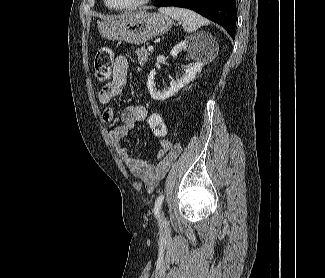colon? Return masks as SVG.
<instances>
[{
	"instance_id": "obj_1",
	"label": "colon",
	"mask_w": 325,
	"mask_h": 278,
	"mask_svg": "<svg viewBox=\"0 0 325 278\" xmlns=\"http://www.w3.org/2000/svg\"><path fill=\"white\" fill-rule=\"evenodd\" d=\"M113 53L108 47L100 48L94 60V74L98 82L107 81L112 73ZM148 127L154 136L163 138L167 134V126L163 117L157 113L151 114L147 119Z\"/></svg>"
}]
</instances>
